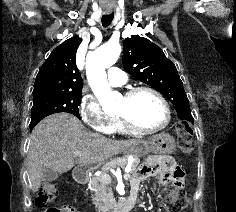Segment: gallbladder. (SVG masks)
<instances>
[{
  "mask_svg": "<svg viewBox=\"0 0 236 212\" xmlns=\"http://www.w3.org/2000/svg\"><path fill=\"white\" fill-rule=\"evenodd\" d=\"M59 177V174L54 172L53 170L49 168H45L42 171V180L43 181H54Z\"/></svg>",
  "mask_w": 236,
  "mask_h": 212,
  "instance_id": "bac80fb5",
  "label": "gallbladder"
}]
</instances>
